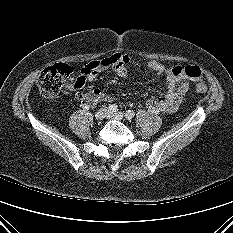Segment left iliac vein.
Instances as JSON below:
<instances>
[{
    "mask_svg": "<svg viewBox=\"0 0 233 233\" xmlns=\"http://www.w3.org/2000/svg\"><path fill=\"white\" fill-rule=\"evenodd\" d=\"M107 117L109 119L122 120L124 118V114L122 112H116V113L110 112Z\"/></svg>",
    "mask_w": 233,
    "mask_h": 233,
    "instance_id": "obj_1",
    "label": "left iliac vein"
}]
</instances>
